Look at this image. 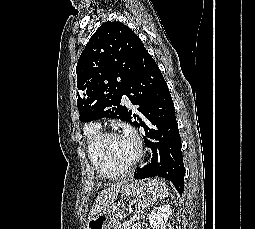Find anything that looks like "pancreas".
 Masks as SVG:
<instances>
[{"instance_id": "obj_1", "label": "pancreas", "mask_w": 255, "mask_h": 229, "mask_svg": "<svg viewBox=\"0 0 255 229\" xmlns=\"http://www.w3.org/2000/svg\"><path fill=\"white\" fill-rule=\"evenodd\" d=\"M114 229H130V226H124L123 224H116Z\"/></svg>"}]
</instances>
